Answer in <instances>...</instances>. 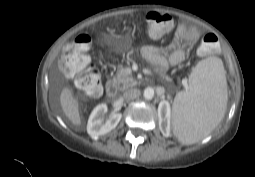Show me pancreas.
<instances>
[{
	"mask_svg": "<svg viewBox=\"0 0 255 177\" xmlns=\"http://www.w3.org/2000/svg\"><path fill=\"white\" fill-rule=\"evenodd\" d=\"M158 71V69H156ZM166 80H171L167 75H163ZM114 85L120 89L125 90L137 85V81L131 75V69L128 67L119 66L117 75L113 78Z\"/></svg>",
	"mask_w": 255,
	"mask_h": 177,
	"instance_id": "1",
	"label": "pancreas"
}]
</instances>
